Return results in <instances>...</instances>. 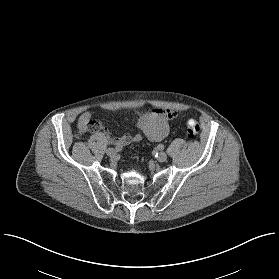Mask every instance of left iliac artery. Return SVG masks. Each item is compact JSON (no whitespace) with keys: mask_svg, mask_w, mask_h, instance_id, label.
<instances>
[{"mask_svg":"<svg viewBox=\"0 0 279 279\" xmlns=\"http://www.w3.org/2000/svg\"><path fill=\"white\" fill-rule=\"evenodd\" d=\"M158 148H159L160 150H163V149H164V145H163V144H159V145H158Z\"/></svg>","mask_w":279,"mask_h":279,"instance_id":"1","label":"left iliac artery"}]
</instances>
